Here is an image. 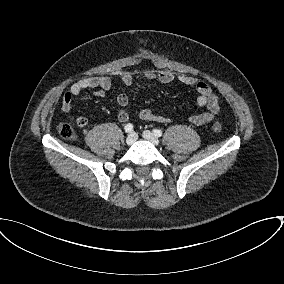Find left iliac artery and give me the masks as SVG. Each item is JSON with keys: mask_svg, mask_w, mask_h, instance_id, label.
I'll return each mask as SVG.
<instances>
[{"mask_svg": "<svg viewBox=\"0 0 284 284\" xmlns=\"http://www.w3.org/2000/svg\"><path fill=\"white\" fill-rule=\"evenodd\" d=\"M153 133L155 136L160 137L162 136V131L160 129H154Z\"/></svg>", "mask_w": 284, "mask_h": 284, "instance_id": "44dca946", "label": "left iliac artery"}]
</instances>
